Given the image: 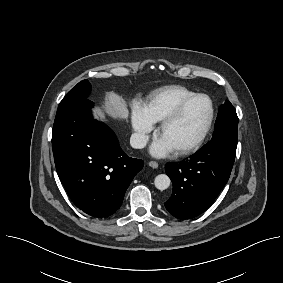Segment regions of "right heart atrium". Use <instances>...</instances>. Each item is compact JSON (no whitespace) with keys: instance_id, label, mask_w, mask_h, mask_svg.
I'll use <instances>...</instances> for the list:
<instances>
[{"instance_id":"right-heart-atrium-1","label":"right heart atrium","mask_w":283,"mask_h":283,"mask_svg":"<svg viewBox=\"0 0 283 283\" xmlns=\"http://www.w3.org/2000/svg\"><path fill=\"white\" fill-rule=\"evenodd\" d=\"M131 124L134 130V143L137 147L142 148L146 145L149 135L154 125L144 114L143 108L135 104L132 109Z\"/></svg>"}]
</instances>
